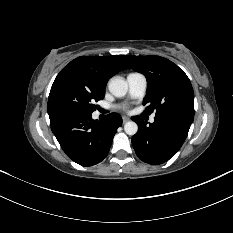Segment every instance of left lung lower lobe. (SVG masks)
Here are the masks:
<instances>
[{"label":"left lung lower lobe","instance_id":"1","mask_svg":"<svg viewBox=\"0 0 233 233\" xmlns=\"http://www.w3.org/2000/svg\"><path fill=\"white\" fill-rule=\"evenodd\" d=\"M154 119L153 123L146 126L139 116L132 118L139 127L132 137V145L142 161L158 165L177 153L192 123L169 115H156Z\"/></svg>","mask_w":233,"mask_h":233}]
</instances>
